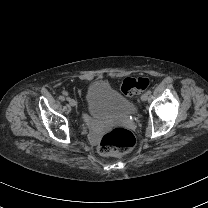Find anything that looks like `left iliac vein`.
I'll return each instance as SVG.
<instances>
[{
    "label": "left iliac vein",
    "mask_w": 208,
    "mask_h": 208,
    "mask_svg": "<svg viewBox=\"0 0 208 208\" xmlns=\"http://www.w3.org/2000/svg\"><path fill=\"white\" fill-rule=\"evenodd\" d=\"M148 99V95L146 93H144L142 96H141V100L142 101H146Z\"/></svg>",
    "instance_id": "1"
}]
</instances>
